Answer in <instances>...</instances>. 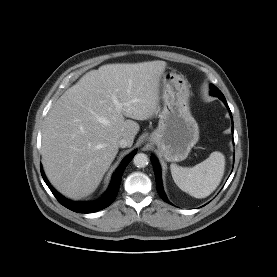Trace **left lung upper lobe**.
<instances>
[{
  "mask_svg": "<svg viewBox=\"0 0 277 277\" xmlns=\"http://www.w3.org/2000/svg\"><path fill=\"white\" fill-rule=\"evenodd\" d=\"M210 88H211V91H210L211 95L218 97L222 101L226 100L222 92L215 85L211 84Z\"/></svg>",
  "mask_w": 277,
  "mask_h": 277,
  "instance_id": "5c2ea615",
  "label": "left lung upper lobe"
}]
</instances>
